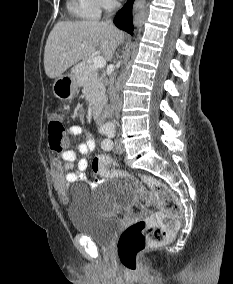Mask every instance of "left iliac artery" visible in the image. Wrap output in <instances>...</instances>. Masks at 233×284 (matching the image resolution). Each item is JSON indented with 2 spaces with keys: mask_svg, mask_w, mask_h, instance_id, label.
I'll use <instances>...</instances> for the list:
<instances>
[{
  "mask_svg": "<svg viewBox=\"0 0 233 284\" xmlns=\"http://www.w3.org/2000/svg\"><path fill=\"white\" fill-rule=\"evenodd\" d=\"M102 133H104L107 138L103 140L102 142V148L105 150H111L113 148V141L112 139L115 136V130L113 129H105L102 131Z\"/></svg>",
  "mask_w": 233,
  "mask_h": 284,
  "instance_id": "44dca946",
  "label": "left iliac artery"
}]
</instances>
